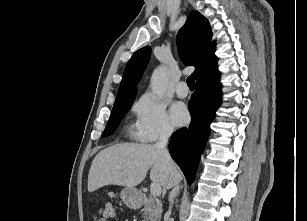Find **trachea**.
I'll list each match as a JSON object with an SVG mask.
<instances>
[{
	"instance_id": "3493384b",
	"label": "trachea",
	"mask_w": 307,
	"mask_h": 221,
	"mask_svg": "<svg viewBox=\"0 0 307 221\" xmlns=\"http://www.w3.org/2000/svg\"><path fill=\"white\" fill-rule=\"evenodd\" d=\"M187 85L188 87L193 90L194 89V85H195V79L191 76V77H188L187 80Z\"/></svg>"
}]
</instances>
